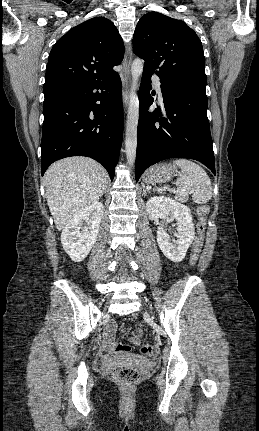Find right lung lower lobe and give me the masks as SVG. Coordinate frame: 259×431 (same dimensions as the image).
I'll use <instances>...</instances> for the list:
<instances>
[{
  "mask_svg": "<svg viewBox=\"0 0 259 431\" xmlns=\"http://www.w3.org/2000/svg\"><path fill=\"white\" fill-rule=\"evenodd\" d=\"M43 113L42 175L56 160L87 156L101 163L113 180L123 134L118 74L104 81L45 93Z\"/></svg>",
  "mask_w": 259,
  "mask_h": 431,
  "instance_id": "obj_1",
  "label": "right lung lower lobe"
}]
</instances>
